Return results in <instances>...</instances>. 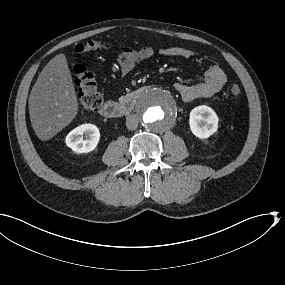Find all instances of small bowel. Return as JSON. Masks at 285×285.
I'll list each match as a JSON object with an SVG mask.
<instances>
[{
  "label": "small bowel",
  "mask_w": 285,
  "mask_h": 285,
  "mask_svg": "<svg viewBox=\"0 0 285 285\" xmlns=\"http://www.w3.org/2000/svg\"><path fill=\"white\" fill-rule=\"evenodd\" d=\"M168 58H191L196 52L187 47H168L158 51L152 47L144 46L139 49L124 47L120 50L116 61L122 75H128L141 62L153 57L155 54ZM227 81L223 68L218 64L211 65L205 72L204 78L193 85L178 82L175 90L183 101L190 102L198 98H209L218 93Z\"/></svg>",
  "instance_id": "small-bowel-1"
}]
</instances>
